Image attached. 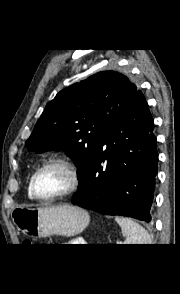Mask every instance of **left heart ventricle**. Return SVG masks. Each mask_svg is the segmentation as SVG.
Here are the masks:
<instances>
[{
    "label": "left heart ventricle",
    "mask_w": 180,
    "mask_h": 294,
    "mask_svg": "<svg viewBox=\"0 0 180 294\" xmlns=\"http://www.w3.org/2000/svg\"><path fill=\"white\" fill-rule=\"evenodd\" d=\"M68 182V174L64 169L50 167L39 174L36 180V189L41 196H51L63 191Z\"/></svg>",
    "instance_id": "1"
}]
</instances>
